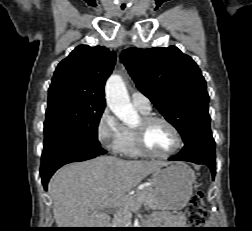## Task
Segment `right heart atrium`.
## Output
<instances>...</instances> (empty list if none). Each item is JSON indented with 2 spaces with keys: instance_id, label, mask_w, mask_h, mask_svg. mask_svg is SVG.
<instances>
[{
  "instance_id": "d8ad5b80",
  "label": "right heart atrium",
  "mask_w": 252,
  "mask_h": 231,
  "mask_svg": "<svg viewBox=\"0 0 252 231\" xmlns=\"http://www.w3.org/2000/svg\"><path fill=\"white\" fill-rule=\"evenodd\" d=\"M96 132L103 145L114 152L120 151L125 136V127L108 107L104 108L99 116Z\"/></svg>"
}]
</instances>
